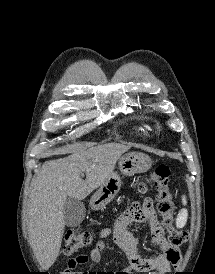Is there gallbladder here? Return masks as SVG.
<instances>
[{
    "label": "gallbladder",
    "instance_id": "gallbladder-1",
    "mask_svg": "<svg viewBox=\"0 0 215 274\" xmlns=\"http://www.w3.org/2000/svg\"><path fill=\"white\" fill-rule=\"evenodd\" d=\"M86 209L82 201L68 197L64 208L63 215L65 224L68 227H76L81 224L85 218Z\"/></svg>",
    "mask_w": 215,
    "mask_h": 274
}]
</instances>
